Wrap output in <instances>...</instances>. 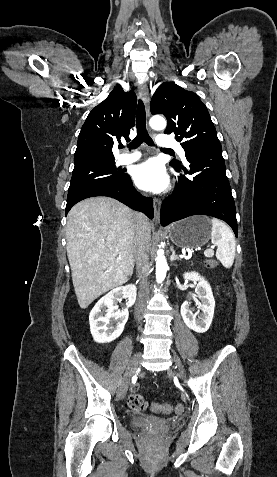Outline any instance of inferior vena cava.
Segmentation results:
<instances>
[{"label":"inferior vena cava","mask_w":277,"mask_h":477,"mask_svg":"<svg viewBox=\"0 0 277 477\" xmlns=\"http://www.w3.org/2000/svg\"><path fill=\"white\" fill-rule=\"evenodd\" d=\"M149 241L148 220L142 213H136L135 221V261L138 277L140 278L139 297L135 307V319L140 321L149 295V284L146 276L149 272Z\"/></svg>","instance_id":"1"}]
</instances>
